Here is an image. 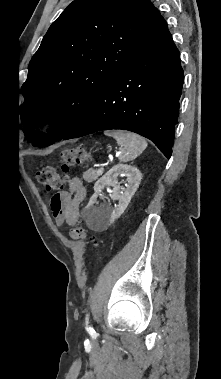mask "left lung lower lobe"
Returning a JSON list of instances; mask_svg holds the SVG:
<instances>
[{
    "mask_svg": "<svg viewBox=\"0 0 221 379\" xmlns=\"http://www.w3.org/2000/svg\"><path fill=\"white\" fill-rule=\"evenodd\" d=\"M184 73L167 23L157 26L92 101L77 125L63 138L123 129L151 141L169 159Z\"/></svg>",
    "mask_w": 221,
    "mask_h": 379,
    "instance_id": "left-lung-lower-lobe-1",
    "label": "left lung lower lobe"
}]
</instances>
